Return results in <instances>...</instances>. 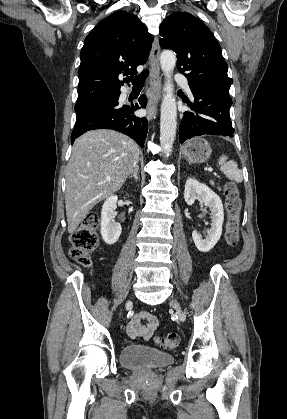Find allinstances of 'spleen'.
<instances>
[{
  "mask_svg": "<svg viewBox=\"0 0 287 419\" xmlns=\"http://www.w3.org/2000/svg\"><path fill=\"white\" fill-rule=\"evenodd\" d=\"M227 160L228 157L226 155H223L219 158L218 164L220 166L221 172H223L229 179H232L235 182H242L243 175L242 171L238 168L237 162L233 160Z\"/></svg>",
  "mask_w": 287,
  "mask_h": 419,
  "instance_id": "1",
  "label": "spleen"
}]
</instances>
